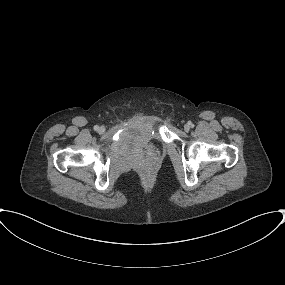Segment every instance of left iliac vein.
Here are the masks:
<instances>
[{"label":"left iliac vein","instance_id":"left-iliac-vein-1","mask_svg":"<svg viewBox=\"0 0 285 285\" xmlns=\"http://www.w3.org/2000/svg\"><path fill=\"white\" fill-rule=\"evenodd\" d=\"M184 129H185V131H189V130H190V125L185 124V125H184Z\"/></svg>","mask_w":285,"mask_h":285}]
</instances>
